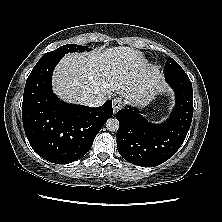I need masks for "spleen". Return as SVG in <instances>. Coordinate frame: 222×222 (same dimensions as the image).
<instances>
[{
	"label": "spleen",
	"instance_id": "1",
	"mask_svg": "<svg viewBox=\"0 0 222 222\" xmlns=\"http://www.w3.org/2000/svg\"><path fill=\"white\" fill-rule=\"evenodd\" d=\"M164 119H165V118H164ZM164 119H163V120H161V122H162V121H164ZM156 123H158V122H156Z\"/></svg>",
	"mask_w": 222,
	"mask_h": 222
}]
</instances>
